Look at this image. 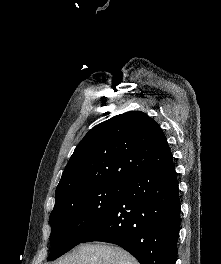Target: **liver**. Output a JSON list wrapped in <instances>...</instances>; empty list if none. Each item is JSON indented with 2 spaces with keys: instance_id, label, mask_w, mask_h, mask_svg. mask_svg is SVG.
Returning <instances> with one entry per match:
<instances>
[{
  "instance_id": "1",
  "label": "liver",
  "mask_w": 221,
  "mask_h": 264,
  "mask_svg": "<svg viewBox=\"0 0 221 264\" xmlns=\"http://www.w3.org/2000/svg\"><path fill=\"white\" fill-rule=\"evenodd\" d=\"M53 264H139L120 247L105 244H84Z\"/></svg>"
}]
</instances>
